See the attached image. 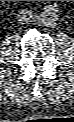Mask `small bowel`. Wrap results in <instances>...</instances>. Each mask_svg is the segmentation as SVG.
<instances>
[{
	"label": "small bowel",
	"mask_w": 74,
	"mask_h": 122,
	"mask_svg": "<svg viewBox=\"0 0 74 122\" xmlns=\"http://www.w3.org/2000/svg\"><path fill=\"white\" fill-rule=\"evenodd\" d=\"M45 14L50 18V19H54L56 16V8L55 6H47L45 8Z\"/></svg>",
	"instance_id": "small-bowel-1"
}]
</instances>
